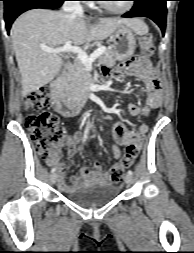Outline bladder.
Segmentation results:
<instances>
[{
	"label": "bladder",
	"mask_w": 194,
	"mask_h": 253,
	"mask_svg": "<svg viewBox=\"0 0 194 253\" xmlns=\"http://www.w3.org/2000/svg\"><path fill=\"white\" fill-rule=\"evenodd\" d=\"M119 194V188L112 184H96L76 188L68 192L66 198L83 208H97L113 201Z\"/></svg>",
	"instance_id": "31cf9c89"
}]
</instances>
